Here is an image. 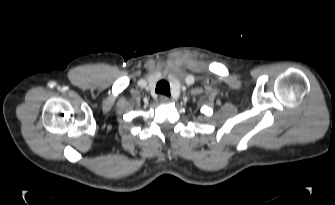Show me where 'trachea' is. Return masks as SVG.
Returning <instances> with one entry per match:
<instances>
[{"instance_id": "obj_1", "label": "trachea", "mask_w": 335, "mask_h": 205, "mask_svg": "<svg viewBox=\"0 0 335 205\" xmlns=\"http://www.w3.org/2000/svg\"><path fill=\"white\" fill-rule=\"evenodd\" d=\"M156 93L170 96V85L167 81L161 80L156 85Z\"/></svg>"}]
</instances>
